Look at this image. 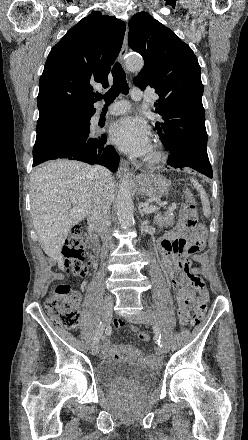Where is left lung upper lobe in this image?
<instances>
[{
    "label": "left lung upper lobe",
    "instance_id": "5c2ea615",
    "mask_svg": "<svg viewBox=\"0 0 248 440\" xmlns=\"http://www.w3.org/2000/svg\"><path fill=\"white\" fill-rule=\"evenodd\" d=\"M128 44L144 58L134 84L142 91L154 88L159 95L154 112L162 120L154 130L163 145L182 142L206 147L203 84L192 49L146 12L130 19Z\"/></svg>",
    "mask_w": 248,
    "mask_h": 440
}]
</instances>
